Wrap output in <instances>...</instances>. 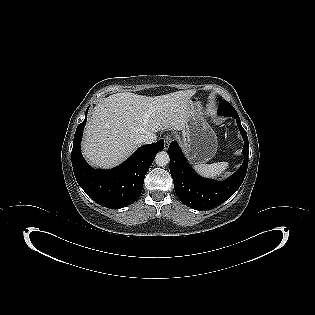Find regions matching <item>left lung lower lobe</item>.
Listing matches in <instances>:
<instances>
[{
	"label": "left lung lower lobe",
	"instance_id": "1",
	"mask_svg": "<svg viewBox=\"0 0 315 315\" xmlns=\"http://www.w3.org/2000/svg\"><path fill=\"white\" fill-rule=\"evenodd\" d=\"M244 138L243 155L245 157L241 167L228 179L215 181L197 175L187 163L178 144L169 145L170 173L174 182L177 197L188 207L197 210H207L222 204L240 187L244 180L248 166L249 143L247 133L235 118Z\"/></svg>",
	"mask_w": 315,
	"mask_h": 315
}]
</instances>
